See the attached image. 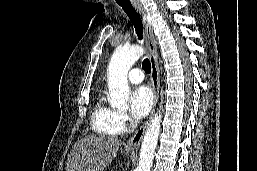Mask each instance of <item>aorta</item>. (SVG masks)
I'll return each mask as SVG.
<instances>
[{"mask_svg": "<svg viewBox=\"0 0 257 171\" xmlns=\"http://www.w3.org/2000/svg\"><path fill=\"white\" fill-rule=\"evenodd\" d=\"M143 53L144 49L138 45L117 48L113 53L108 66L109 102L113 107L127 108L129 100L127 74ZM160 123L161 114L159 112L155 114L145 133L137 171H150L160 132Z\"/></svg>", "mask_w": 257, "mask_h": 171, "instance_id": "obj_1", "label": "aorta"}]
</instances>
